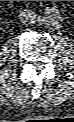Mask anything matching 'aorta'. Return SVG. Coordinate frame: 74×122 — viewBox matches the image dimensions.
<instances>
[{"label":"aorta","mask_w":74,"mask_h":122,"mask_svg":"<svg viewBox=\"0 0 74 122\" xmlns=\"http://www.w3.org/2000/svg\"><path fill=\"white\" fill-rule=\"evenodd\" d=\"M45 19H46L47 22H50V23H54L55 20H56V18L54 16L50 15V14H46Z\"/></svg>","instance_id":"obj_1"}]
</instances>
